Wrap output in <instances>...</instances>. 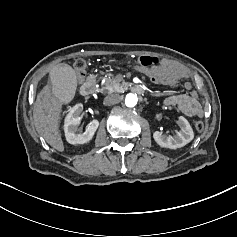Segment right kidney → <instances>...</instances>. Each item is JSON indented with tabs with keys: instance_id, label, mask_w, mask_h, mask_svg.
Listing matches in <instances>:
<instances>
[{
	"instance_id": "1",
	"label": "right kidney",
	"mask_w": 237,
	"mask_h": 237,
	"mask_svg": "<svg viewBox=\"0 0 237 237\" xmlns=\"http://www.w3.org/2000/svg\"><path fill=\"white\" fill-rule=\"evenodd\" d=\"M82 111L83 105L76 104L65 118L64 132L66 140L70 144H84L90 141L99 126L97 120H92L83 132L80 126Z\"/></svg>"
}]
</instances>
